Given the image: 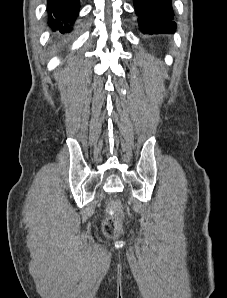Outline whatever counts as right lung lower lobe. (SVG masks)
Wrapping results in <instances>:
<instances>
[{"label":"right lung lower lobe","mask_w":227,"mask_h":298,"mask_svg":"<svg viewBox=\"0 0 227 298\" xmlns=\"http://www.w3.org/2000/svg\"><path fill=\"white\" fill-rule=\"evenodd\" d=\"M49 25L61 33L70 32L79 12V0H47Z\"/></svg>","instance_id":"right-lung-lower-lobe-1"}]
</instances>
